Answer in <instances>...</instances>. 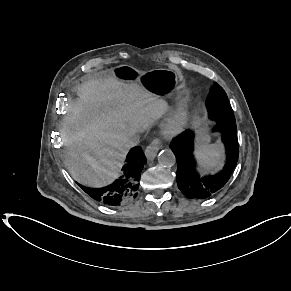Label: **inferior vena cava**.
<instances>
[{"mask_svg":"<svg viewBox=\"0 0 291 291\" xmlns=\"http://www.w3.org/2000/svg\"><path fill=\"white\" fill-rule=\"evenodd\" d=\"M140 142V137L136 133H132L127 138V144L129 147L136 146Z\"/></svg>","mask_w":291,"mask_h":291,"instance_id":"1","label":"inferior vena cava"}]
</instances>
